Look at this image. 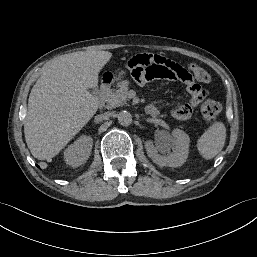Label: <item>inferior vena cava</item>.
<instances>
[{"label":"inferior vena cava","mask_w":257,"mask_h":257,"mask_svg":"<svg viewBox=\"0 0 257 257\" xmlns=\"http://www.w3.org/2000/svg\"><path fill=\"white\" fill-rule=\"evenodd\" d=\"M111 115H112V113L105 112L103 114H100V115L96 116V119L97 120H107V119H109L111 117Z\"/></svg>","instance_id":"1"}]
</instances>
